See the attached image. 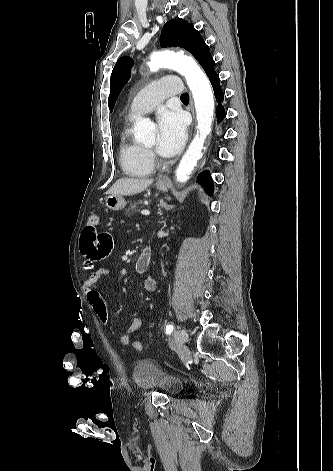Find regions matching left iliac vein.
Listing matches in <instances>:
<instances>
[{
    "instance_id": "1",
    "label": "left iliac vein",
    "mask_w": 333,
    "mask_h": 471,
    "mask_svg": "<svg viewBox=\"0 0 333 471\" xmlns=\"http://www.w3.org/2000/svg\"><path fill=\"white\" fill-rule=\"evenodd\" d=\"M188 340V333L185 330H177L174 332V345L181 351H185L183 344Z\"/></svg>"
}]
</instances>
